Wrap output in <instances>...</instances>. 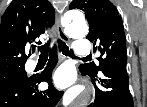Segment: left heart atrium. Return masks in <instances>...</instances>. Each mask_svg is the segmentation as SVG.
<instances>
[{"label": "left heart atrium", "instance_id": "obj_1", "mask_svg": "<svg viewBox=\"0 0 147 107\" xmlns=\"http://www.w3.org/2000/svg\"><path fill=\"white\" fill-rule=\"evenodd\" d=\"M75 79L72 68L63 66L59 68L54 76V81L57 86L64 88L69 86Z\"/></svg>", "mask_w": 147, "mask_h": 107}]
</instances>
